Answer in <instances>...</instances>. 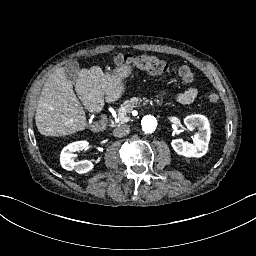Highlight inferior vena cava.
<instances>
[{"label":"inferior vena cava","instance_id":"obj_1","mask_svg":"<svg viewBox=\"0 0 256 256\" xmlns=\"http://www.w3.org/2000/svg\"><path fill=\"white\" fill-rule=\"evenodd\" d=\"M130 133V127L128 125H120L113 130L115 137H124Z\"/></svg>","mask_w":256,"mask_h":256}]
</instances>
